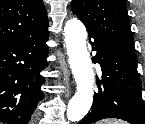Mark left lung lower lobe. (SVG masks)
Wrapping results in <instances>:
<instances>
[{
  "label": "left lung lower lobe",
  "instance_id": "obj_1",
  "mask_svg": "<svg viewBox=\"0 0 145 124\" xmlns=\"http://www.w3.org/2000/svg\"><path fill=\"white\" fill-rule=\"evenodd\" d=\"M89 43L99 63L102 80L97 79L98 93L94 95L91 112L78 124H91L105 118H118L131 124H145V105L137 59L98 37L89 34Z\"/></svg>",
  "mask_w": 145,
  "mask_h": 124
}]
</instances>
